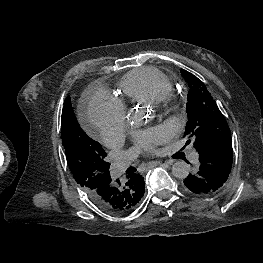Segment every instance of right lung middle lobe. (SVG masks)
Instances as JSON below:
<instances>
[{
	"label": "right lung middle lobe",
	"instance_id": "right-lung-middle-lobe-1",
	"mask_svg": "<svg viewBox=\"0 0 263 263\" xmlns=\"http://www.w3.org/2000/svg\"><path fill=\"white\" fill-rule=\"evenodd\" d=\"M61 133L67 163L76 182L87 193L103 186L110 178L107 155L78 124L69 96L62 109Z\"/></svg>",
	"mask_w": 263,
	"mask_h": 263
}]
</instances>
